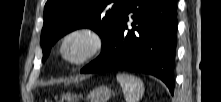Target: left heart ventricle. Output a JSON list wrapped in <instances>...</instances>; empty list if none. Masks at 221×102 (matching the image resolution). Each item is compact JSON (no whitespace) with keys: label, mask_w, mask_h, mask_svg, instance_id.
<instances>
[{"label":"left heart ventricle","mask_w":221,"mask_h":102,"mask_svg":"<svg viewBox=\"0 0 221 102\" xmlns=\"http://www.w3.org/2000/svg\"><path fill=\"white\" fill-rule=\"evenodd\" d=\"M85 42L79 38L70 40L65 47V54L69 59H76L82 55L85 50Z\"/></svg>","instance_id":"1"}]
</instances>
